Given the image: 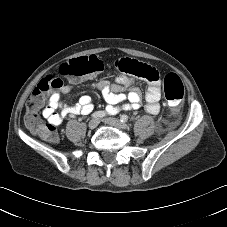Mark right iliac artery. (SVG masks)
Instances as JSON below:
<instances>
[{
	"label": "right iliac artery",
	"instance_id": "obj_1",
	"mask_svg": "<svg viewBox=\"0 0 227 227\" xmlns=\"http://www.w3.org/2000/svg\"><path fill=\"white\" fill-rule=\"evenodd\" d=\"M104 116H106V112L104 111H96L91 115L92 118H97V119L102 118Z\"/></svg>",
	"mask_w": 227,
	"mask_h": 227
}]
</instances>
